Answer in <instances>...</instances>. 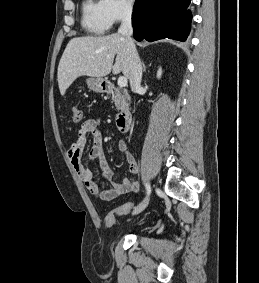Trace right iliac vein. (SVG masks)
Listing matches in <instances>:
<instances>
[{
    "label": "right iliac vein",
    "mask_w": 259,
    "mask_h": 283,
    "mask_svg": "<svg viewBox=\"0 0 259 283\" xmlns=\"http://www.w3.org/2000/svg\"><path fill=\"white\" fill-rule=\"evenodd\" d=\"M149 199H145L143 202H141L135 209L133 210L132 214L137 215L141 213L148 205Z\"/></svg>",
    "instance_id": "obj_1"
}]
</instances>
